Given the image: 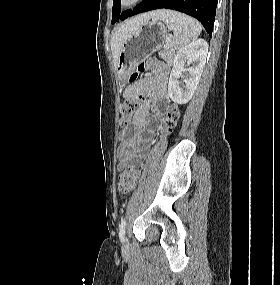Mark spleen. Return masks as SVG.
<instances>
[{"label":"spleen","instance_id":"spleen-1","mask_svg":"<svg viewBox=\"0 0 280 285\" xmlns=\"http://www.w3.org/2000/svg\"><path fill=\"white\" fill-rule=\"evenodd\" d=\"M154 20L163 21L173 32L170 47L173 50L181 49L195 41L202 31V27L195 19L182 13L170 10H159Z\"/></svg>","mask_w":280,"mask_h":285}]
</instances>
